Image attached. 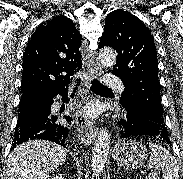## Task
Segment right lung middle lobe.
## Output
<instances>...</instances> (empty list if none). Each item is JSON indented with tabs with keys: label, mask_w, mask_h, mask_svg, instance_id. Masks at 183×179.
<instances>
[{
	"label": "right lung middle lobe",
	"mask_w": 183,
	"mask_h": 179,
	"mask_svg": "<svg viewBox=\"0 0 183 179\" xmlns=\"http://www.w3.org/2000/svg\"><path fill=\"white\" fill-rule=\"evenodd\" d=\"M28 103V96L21 97L19 102V112L22 111Z\"/></svg>",
	"instance_id": "obj_1"
}]
</instances>
